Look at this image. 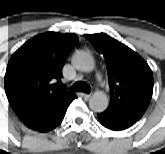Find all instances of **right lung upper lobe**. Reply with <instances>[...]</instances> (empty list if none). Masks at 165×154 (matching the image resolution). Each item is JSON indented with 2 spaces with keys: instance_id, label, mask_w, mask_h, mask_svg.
Here are the masks:
<instances>
[{
  "instance_id": "obj_1",
  "label": "right lung upper lobe",
  "mask_w": 165,
  "mask_h": 154,
  "mask_svg": "<svg viewBox=\"0 0 165 154\" xmlns=\"http://www.w3.org/2000/svg\"><path fill=\"white\" fill-rule=\"evenodd\" d=\"M77 43L75 35L48 32L31 38L12 55L4 87L18 116L68 93L59 80L68 54Z\"/></svg>"
}]
</instances>
